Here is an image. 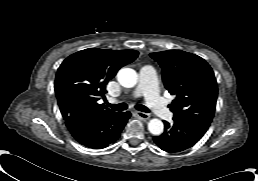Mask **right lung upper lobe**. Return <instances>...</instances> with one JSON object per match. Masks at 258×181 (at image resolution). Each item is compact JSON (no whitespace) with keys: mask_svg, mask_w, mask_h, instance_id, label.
Listing matches in <instances>:
<instances>
[{"mask_svg":"<svg viewBox=\"0 0 258 181\" xmlns=\"http://www.w3.org/2000/svg\"><path fill=\"white\" fill-rule=\"evenodd\" d=\"M138 57L135 50L89 48L72 54L58 68L55 93L65 121L91 115L115 113L98 100L117 71Z\"/></svg>","mask_w":258,"mask_h":181,"instance_id":"right-lung-upper-lobe-1","label":"right lung upper lobe"}]
</instances>
